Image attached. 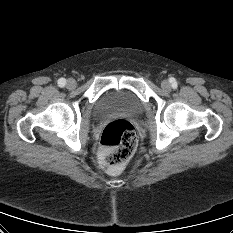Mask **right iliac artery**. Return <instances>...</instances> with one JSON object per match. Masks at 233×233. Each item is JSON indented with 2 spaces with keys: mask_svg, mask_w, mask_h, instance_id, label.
<instances>
[{
  "mask_svg": "<svg viewBox=\"0 0 233 233\" xmlns=\"http://www.w3.org/2000/svg\"><path fill=\"white\" fill-rule=\"evenodd\" d=\"M58 85H59L60 87H64V86L66 85V80H65L64 78H60V79L58 80Z\"/></svg>",
  "mask_w": 233,
  "mask_h": 233,
  "instance_id": "right-iliac-artery-1",
  "label": "right iliac artery"
}]
</instances>
